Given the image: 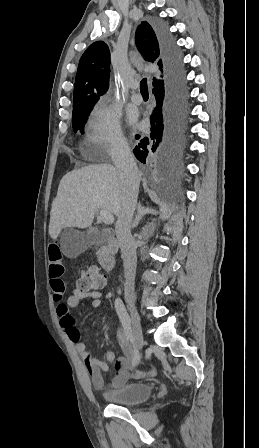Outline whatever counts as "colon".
<instances>
[{"label":"colon","instance_id":"1","mask_svg":"<svg viewBox=\"0 0 259 448\" xmlns=\"http://www.w3.org/2000/svg\"><path fill=\"white\" fill-rule=\"evenodd\" d=\"M105 278L95 268H86L78 282L79 291L87 294H99V291L105 287Z\"/></svg>","mask_w":259,"mask_h":448}]
</instances>
